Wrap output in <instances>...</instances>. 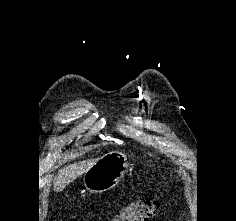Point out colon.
Listing matches in <instances>:
<instances>
[{"label":"colon","mask_w":236,"mask_h":221,"mask_svg":"<svg viewBox=\"0 0 236 221\" xmlns=\"http://www.w3.org/2000/svg\"><path fill=\"white\" fill-rule=\"evenodd\" d=\"M163 200L142 198L123 206L112 221H148L161 209Z\"/></svg>","instance_id":"colon-1"}]
</instances>
